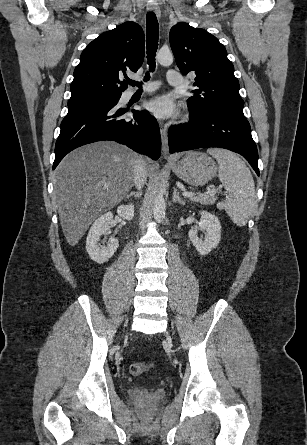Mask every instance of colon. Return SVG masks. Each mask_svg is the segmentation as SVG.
Here are the masks:
<instances>
[{
    "label": "colon",
    "mask_w": 307,
    "mask_h": 445,
    "mask_svg": "<svg viewBox=\"0 0 307 445\" xmlns=\"http://www.w3.org/2000/svg\"><path fill=\"white\" fill-rule=\"evenodd\" d=\"M150 366L151 365L148 363H140V362L132 363L129 367V372L132 375L138 376L147 371Z\"/></svg>",
    "instance_id": "colon-1"
}]
</instances>
